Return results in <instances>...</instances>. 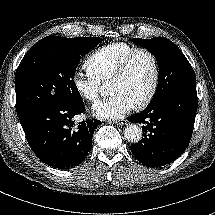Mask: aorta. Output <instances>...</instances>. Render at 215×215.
<instances>
[{"label": "aorta", "mask_w": 215, "mask_h": 215, "mask_svg": "<svg viewBox=\"0 0 215 215\" xmlns=\"http://www.w3.org/2000/svg\"><path fill=\"white\" fill-rule=\"evenodd\" d=\"M125 138L133 143H137L142 138V129L136 124H129L124 130Z\"/></svg>", "instance_id": "762f6f07"}]
</instances>
